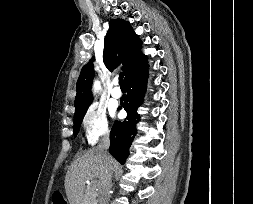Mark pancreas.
<instances>
[{"instance_id":"obj_1","label":"pancreas","mask_w":253,"mask_h":204,"mask_svg":"<svg viewBox=\"0 0 253 204\" xmlns=\"http://www.w3.org/2000/svg\"><path fill=\"white\" fill-rule=\"evenodd\" d=\"M96 198L97 192L95 191V186L94 185L87 186L83 204H97Z\"/></svg>"}]
</instances>
